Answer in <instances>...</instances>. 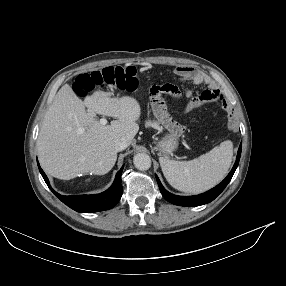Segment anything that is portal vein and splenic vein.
Instances as JSON below:
<instances>
[{
	"mask_svg": "<svg viewBox=\"0 0 286 286\" xmlns=\"http://www.w3.org/2000/svg\"><path fill=\"white\" fill-rule=\"evenodd\" d=\"M100 124L101 125H106L107 124V120L105 118L100 119Z\"/></svg>",
	"mask_w": 286,
	"mask_h": 286,
	"instance_id": "obj_1",
	"label": "portal vein and splenic vein"
}]
</instances>
